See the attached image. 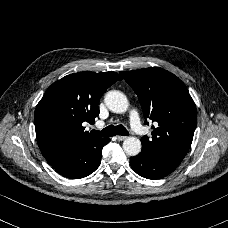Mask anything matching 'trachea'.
<instances>
[{
	"mask_svg": "<svg viewBox=\"0 0 228 228\" xmlns=\"http://www.w3.org/2000/svg\"><path fill=\"white\" fill-rule=\"evenodd\" d=\"M92 132L96 136H100V137H111V136H115V135H119V136H128L129 135L127 129L122 124H119L117 126L109 125L108 127L104 128L101 131L92 130Z\"/></svg>",
	"mask_w": 228,
	"mask_h": 228,
	"instance_id": "trachea-1",
	"label": "trachea"
}]
</instances>
